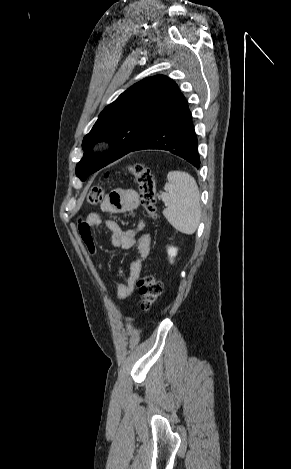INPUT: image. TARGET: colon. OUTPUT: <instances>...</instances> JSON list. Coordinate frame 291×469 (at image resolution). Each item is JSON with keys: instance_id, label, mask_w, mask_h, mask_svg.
<instances>
[{"instance_id": "obj_1", "label": "colon", "mask_w": 291, "mask_h": 469, "mask_svg": "<svg viewBox=\"0 0 291 469\" xmlns=\"http://www.w3.org/2000/svg\"><path fill=\"white\" fill-rule=\"evenodd\" d=\"M128 172L134 177L140 190V200L145 212L151 218L156 217V182L151 170L143 164H133L128 166ZM109 174L106 175V178ZM106 188L103 185L94 186L87 195L86 202L89 205H96L104 200ZM136 287L140 294L139 307L141 311L147 312L160 297L163 286L153 275L145 274L136 281ZM131 321V319H129Z\"/></svg>"}]
</instances>
